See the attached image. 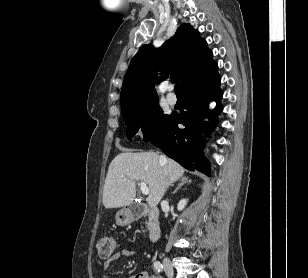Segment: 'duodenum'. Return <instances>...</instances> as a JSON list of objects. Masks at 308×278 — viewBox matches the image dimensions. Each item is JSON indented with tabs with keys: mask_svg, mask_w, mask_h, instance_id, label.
<instances>
[{
	"mask_svg": "<svg viewBox=\"0 0 308 278\" xmlns=\"http://www.w3.org/2000/svg\"><path fill=\"white\" fill-rule=\"evenodd\" d=\"M143 215H147L149 218L148 222V235L151 241L159 239L161 234L159 211L154 206H140L132 204L127 208L126 219L133 221L139 219Z\"/></svg>",
	"mask_w": 308,
	"mask_h": 278,
	"instance_id": "410a0bca",
	"label": "duodenum"
}]
</instances>
